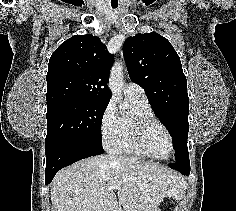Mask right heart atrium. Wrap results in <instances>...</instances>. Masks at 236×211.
<instances>
[{
    "instance_id": "1",
    "label": "right heart atrium",
    "mask_w": 236,
    "mask_h": 211,
    "mask_svg": "<svg viewBox=\"0 0 236 211\" xmlns=\"http://www.w3.org/2000/svg\"><path fill=\"white\" fill-rule=\"evenodd\" d=\"M99 132L103 146L111 148L119 133V116L113 102H109L101 114Z\"/></svg>"
}]
</instances>
